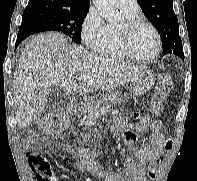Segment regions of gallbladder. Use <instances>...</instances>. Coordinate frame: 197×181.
I'll use <instances>...</instances> for the list:
<instances>
[{
    "label": "gallbladder",
    "mask_w": 197,
    "mask_h": 181,
    "mask_svg": "<svg viewBox=\"0 0 197 181\" xmlns=\"http://www.w3.org/2000/svg\"><path fill=\"white\" fill-rule=\"evenodd\" d=\"M54 88L53 87H50L48 88V96L49 95H52V93H54ZM55 105V102L53 101V99L49 98V101H48V106H49V109H51L52 107H54Z\"/></svg>",
    "instance_id": "1"
}]
</instances>
